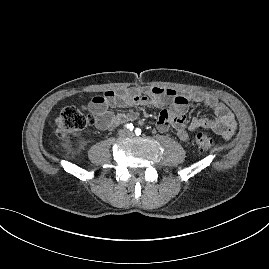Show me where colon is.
<instances>
[{"mask_svg": "<svg viewBox=\"0 0 269 269\" xmlns=\"http://www.w3.org/2000/svg\"><path fill=\"white\" fill-rule=\"evenodd\" d=\"M94 122V115L86 113L83 108L67 106L55 119L56 135L59 139H67L75 132L92 125ZM195 144L202 152H208L214 146L213 139L203 132H198L195 135Z\"/></svg>", "mask_w": 269, "mask_h": 269, "instance_id": "1", "label": "colon"}]
</instances>
